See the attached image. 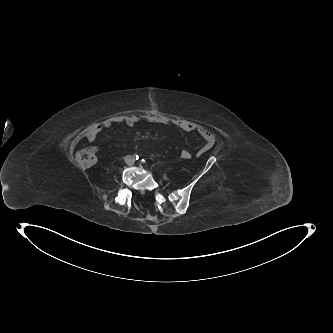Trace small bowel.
Listing matches in <instances>:
<instances>
[{
    "label": "small bowel",
    "instance_id": "c3829d8e",
    "mask_svg": "<svg viewBox=\"0 0 333 333\" xmlns=\"http://www.w3.org/2000/svg\"><path fill=\"white\" fill-rule=\"evenodd\" d=\"M149 122L156 123V124H167L168 121L159 118V117H147L146 118ZM140 121V118L137 116H129L125 118L124 120H121L119 118L116 119H107L104 120L103 122L93 126L90 128L87 133L85 134V138L89 142H94L99 134L104 130V129H109L113 125L117 123H125L129 127L135 126L138 122ZM174 124L179 127L181 130L186 131V132H197L202 139L204 140V145L200 148V150L197 152V156H201L202 154L206 153L209 151L215 142V137L214 135L208 131L205 127L196 124L194 122L188 121V120H176Z\"/></svg>",
    "mask_w": 333,
    "mask_h": 333
}]
</instances>
